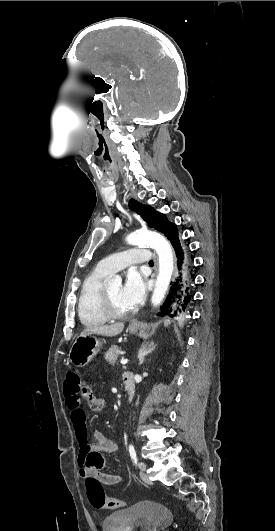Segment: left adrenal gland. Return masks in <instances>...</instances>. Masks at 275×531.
<instances>
[{"label": "left adrenal gland", "instance_id": "obj_1", "mask_svg": "<svg viewBox=\"0 0 275 531\" xmlns=\"http://www.w3.org/2000/svg\"><path fill=\"white\" fill-rule=\"evenodd\" d=\"M155 349H156V345H154L152 341L151 343H143L138 353V359H139L138 365H142V363H144V359L146 355H150V353H152V351H155Z\"/></svg>", "mask_w": 275, "mask_h": 531}]
</instances>
